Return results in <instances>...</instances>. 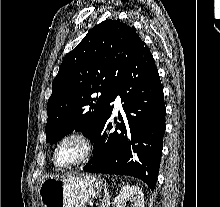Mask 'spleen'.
<instances>
[{"instance_id": "obj_1", "label": "spleen", "mask_w": 220, "mask_h": 207, "mask_svg": "<svg viewBox=\"0 0 220 207\" xmlns=\"http://www.w3.org/2000/svg\"><path fill=\"white\" fill-rule=\"evenodd\" d=\"M104 191H105V197L103 199V205L105 207V205L109 204V195L107 193L106 183H104Z\"/></svg>"}]
</instances>
